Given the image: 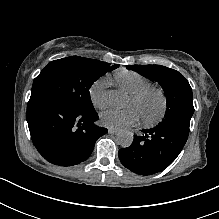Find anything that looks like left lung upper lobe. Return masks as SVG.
I'll list each match as a JSON object with an SVG mask.
<instances>
[{
	"label": "left lung upper lobe",
	"instance_id": "5c2ea615",
	"mask_svg": "<svg viewBox=\"0 0 219 219\" xmlns=\"http://www.w3.org/2000/svg\"><path fill=\"white\" fill-rule=\"evenodd\" d=\"M136 71L158 82L166 95L167 107L160 125H179L189 129L194 112L192 89L178 71L161 65H131Z\"/></svg>",
	"mask_w": 219,
	"mask_h": 219
}]
</instances>
